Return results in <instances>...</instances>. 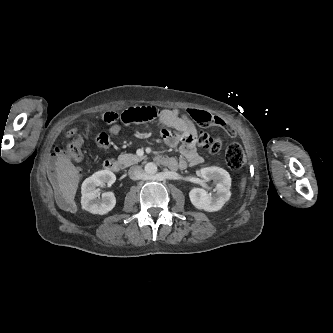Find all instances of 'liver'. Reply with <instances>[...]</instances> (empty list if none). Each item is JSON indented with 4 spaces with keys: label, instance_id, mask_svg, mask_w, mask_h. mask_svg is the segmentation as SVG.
<instances>
[{
    "label": "liver",
    "instance_id": "liver-1",
    "mask_svg": "<svg viewBox=\"0 0 333 333\" xmlns=\"http://www.w3.org/2000/svg\"><path fill=\"white\" fill-rule=\"evenodd\" d=\"M57 178L59 191L66 204H73L79 184V171L67 158L60 156L57 159Z\"/></svg>",
    "mask_w": 333,
    "mask_h": 333
}]
</instances>
